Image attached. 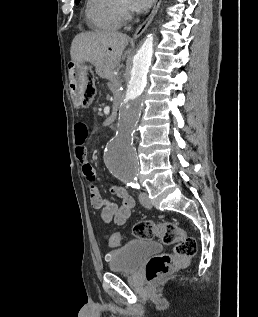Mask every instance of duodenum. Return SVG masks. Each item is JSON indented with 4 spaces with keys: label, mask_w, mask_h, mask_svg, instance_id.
Instances as JSON below:
<instances>
[{
    "label": "duodenum",
    "mask_w": 258,
    "mask_h": 317,
    "mask_svg": "<svg viewBox=\"0 0 258 317\" xmlns=\"http://www.w3.org/2000/svg\"><path fill=\"white\" fill-rule=\"evenodd\" d=\"M68 71L71 86L77 87L79 80V69L75 66H70Z\"/></svg>",
    "instance_id": "duodenum-1"
}]
</instances>
